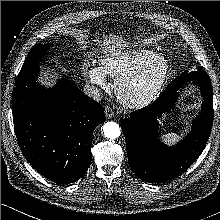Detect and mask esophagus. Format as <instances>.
Listing matches in <instances>:
<instances>
[{"label": "esophagus", "mask_w": 220, "mask_h": 220, "mask_svg": "<svg viewBox=\"0 0 220 220\" xmlns=\"http://www.w3.org/2000/svg\"><path fill=\"white\" fill-rule=\"evenodd\" d=\"M104 110H105V115L108 119H111L115 116V113L111 107L105 106Z\"/></svg>", "instance_id": "34e87169"}]
</instances>
